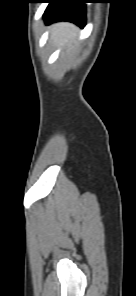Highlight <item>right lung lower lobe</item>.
Masks as SVG:
<instances>
[{
    "label": "right lung lower lobe",
    "mask_w": 136,
    "mask_h": 296,
    "mask_svg": "<svg viewBox=\"0 0 136 296\" xmlns=\"http://www.w3.org/2000/svg\"><path fill=\"white\" fill-rule=\"evenodd\" d=\"M49 6L44 13L46 24L56 21H70L80 27L86 24L85 3L89 0H47Z\"/></svg>",
    "instance_id": "1"
}]
</instances>
